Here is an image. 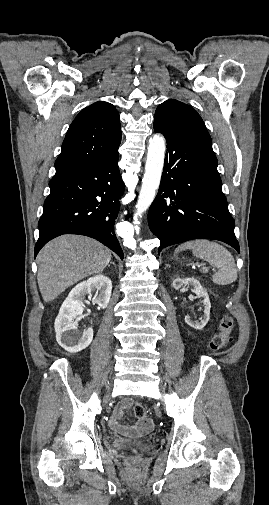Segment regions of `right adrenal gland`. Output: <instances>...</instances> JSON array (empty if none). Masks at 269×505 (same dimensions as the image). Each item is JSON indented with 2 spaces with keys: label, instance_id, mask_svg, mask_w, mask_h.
Masks as SVG:
<instances>
[{
  "label": "right adrenal gland",
  "instance_id": "obj_1",
  "mask_svg": "<svg viewBox=\"0 0 269 505\" xmlns=\"http://www.w3.org/2000/svg\"><path fill=\"white\" fill-rule=\"evenodd\" d=\"M110 264H113L116 267V264L114 262H111ZM110 264L108 266H110Z\"/></svg>",
  "mask_w": 269,
  "mask_h": 505
}]
</instances>
